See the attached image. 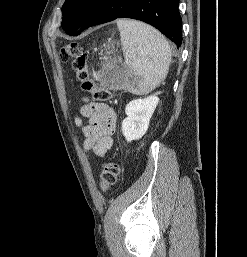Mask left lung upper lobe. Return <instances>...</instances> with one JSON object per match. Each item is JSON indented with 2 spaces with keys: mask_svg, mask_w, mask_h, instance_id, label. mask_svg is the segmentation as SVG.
I'll return each mask as SVG.
<instances>
[{
  "mask_svg": "<svg viewBox=\"0 0 247 257\" xmlns=\"http://www.w3.org/2000/svg\"><path fill=\"white\" fill-rule=\"evenodd\" d=\"M99 0H66L62 6L61 26L68 35L78 31Z\"/></svg>",
  "mask_w": 247,
  "mask_h": 257,
  "instance_id": "5c2ea615",
  "label": "left lung upper lobe"
}]
</instances>
